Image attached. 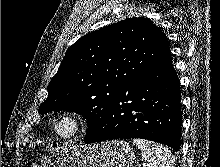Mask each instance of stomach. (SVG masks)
I'll return each mask as SVG.
<instances>
[{
    "label": "stomach",
    "instance_id": "stomach-1",
    "mask_svg": "<svg viewBox=\"0 0 220 167\" xmlns=\"http://www.w3.org/2000/svg\"><path fill=\"white\" fill-rule=\"evenodd\" d=\"M135 153L125 141H109L72 148L41 161L35 167H133Z\"/></svg>",
    "mask_w": 220,
    "mask_h": 167
}]
</instances>
